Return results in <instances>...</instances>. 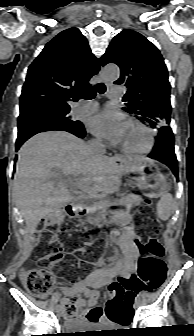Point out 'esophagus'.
<instances>
[{"instance_id":"esophagus-1","label":"esophagus","mask_w":194,"mask_h":336,"mask_svg":"<svg viewBox=\"0 0 194 336\" xmlns=\"http://www.w3.org/2000/svg\"><path fill=\"white\" fill-rule=\"evenodd\" d=\"M98 77H99V81H100V82H104V83H106V81H105V80L103 79V77H102V73H101V71H99ZM118 158H119V156L116 155V156L114 157V161H117Z\"/></svg>"}]
</instances>
